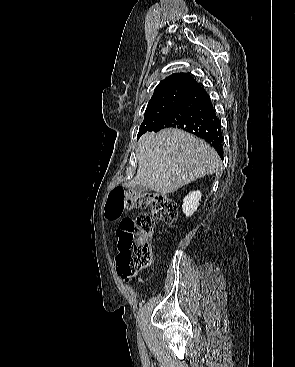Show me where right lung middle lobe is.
I'll use <instances>...</instances> for the list:
<instances>
[{"label":"right lung middle lobe","instance_id":"right-lung-middle-lobe-1","mask_svg":"<svg viewBox=\"0 0 295 367\" xmlns=\"http://www.w3.org/2000/svg\"><path fill=\"white\" fill-rule=\"evenodd\" d=\"M194 92V90L187 88H172L154 93L148 102L144 120L138 132V138L156 127Z\"/></svg>","mask_w":295,"mask_h":367}]
</instances>
